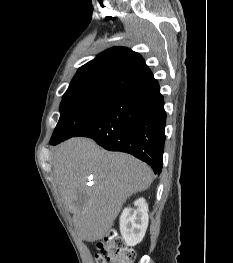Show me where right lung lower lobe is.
Instances as JSON below:
<instances>
[{
	"mask_svg": "<svg viewBox=\"0 0 233 263\" xmlns=\"http://www.w3.org/2000/svg\"><path fill=\"white\" fill-rule=\"evenodd\" d=\"M166 112L156 79L128 89L114 99L105 113L75 136L94 139L110 151H122L162 171ZM63 139L51 140L56 145Z\"/></svg>",
	"mask_w": 233,
	"mask_h": 263,
	"instance_id": "obj_1",
	"label": "right lung lower lobe"
}]
</instances>
